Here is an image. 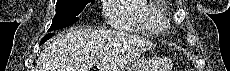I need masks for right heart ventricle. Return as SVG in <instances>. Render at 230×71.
Segmentation results:
<instances>
[{
  "mask_svg": "<svg viewBox=\"0 0 230 71\" xmlns=\"http://www.w3.org/2000/svg\"><path fill=\"white\" fill-rule=\"evenodd\" d=\"M106 11L109 23L118 30L160 34L167 28L166 8L159 1H112Z\"/></svg>",
  "mask_w": 230,
  "mask_h": 71,
  "instance_id": "right-heart-ventricle-1",
  "label": "right heart ventricle"
}]
</instances>
